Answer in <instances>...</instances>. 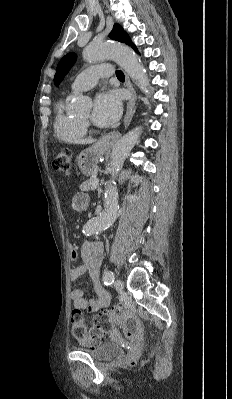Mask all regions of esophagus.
<instances>
[{
	"label": "esophagus",
	"mask_w": 232,
	"mask_h": 399,
	"mask_svg": "<svg viewBox=\"0 0 232 399\" xmlns=\"http://www.w3.org/2000/svg\"><path fill=\"white\" fill-rule=\"evenodd\" d=\"M125 84L131 93V98L127 102L126 113L123 119V126L125 129H127L135 113L134 106L136 103V92L130 82L128 75L126 74H125ZM120 136L121 133L116 130H114L113 132H109L108 134H105L102 137H100L98 142H96V146L100 148L110 149L111 147H113V145L119 139Z\"/></svg>",
	"instance_id": "1"
}]
</instances>
